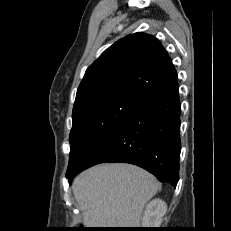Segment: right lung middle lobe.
Instances as JSON below:
<instances>
[{
	"mask_svg": "<svg viewBox=\"0 0 231 231\" xmlns=\"http://www.w3.org/2000/svg\"><path fill=\"white\" fill-rule=\"evenodd\" d=\"M142 101L132 94H114L73 111L68 169L77 167L100 142L139 109Z\"/></svg>",
	"mask_w": 231,
	"mask_h": 231,
	"instance_id": "1",
	"label": "right lung middle lobe"
}]
</instances>
